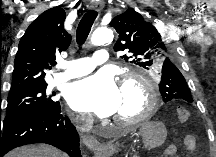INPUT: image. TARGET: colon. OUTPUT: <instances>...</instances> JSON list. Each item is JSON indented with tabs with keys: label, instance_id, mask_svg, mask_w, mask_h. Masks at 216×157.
I'll return each instance as SVG.
<instances>
[{
	"label": "colon",
	"instance_id": "colon-1",
	"mask_svg": "<svg viewBox=\"0 0 216 157\" xmlns=\"http://www.w3.org/2000/svg\"><path fill=\"white\" fill-rule=\"evenodd\" d=\"M190 118V112L184 107H179L177 109V120L181 123L188 121Z\"/></svg>",
	"mask_w": 216,
	"mask_h": 157
}]
</instances>
